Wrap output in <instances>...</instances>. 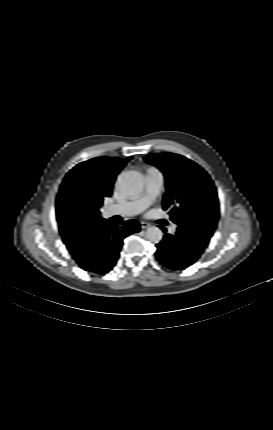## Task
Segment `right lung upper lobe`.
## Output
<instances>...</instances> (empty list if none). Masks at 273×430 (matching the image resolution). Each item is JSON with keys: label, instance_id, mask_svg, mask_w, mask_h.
<instances>
[{"label": "right lung upper lobe", "instance_id": "1", "mask_svg": "<svg viewBox=\"0 0 273 430\" xmlns=\"http://www.w3.org/2000/svg\"><path fill=\"white\" fill-rule=\"evenodd\" d=\"M131 158H93L76 165L65 176L56 200V213L60 233L71 254L84 247L90 228L103 218L99 215L81 229H67L60 219L63 202L73 195H80L101 206L105 197L111 196L117 174Z\"/></svg>", "mask_w": 273, "mask_h": 430}]
</instances>
